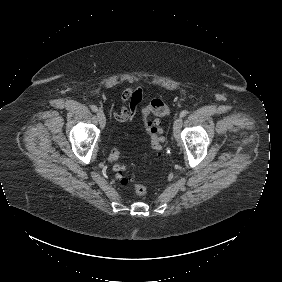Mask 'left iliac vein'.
<instances>
[{
	"mask_svg": "<svg viewBox=\"0 0 282 282\" xmlns=\"http://www.w3.org/2000/svg\"><path fill=\"white\" fill-rule=\"evenodd\" d=\"M183 120L181 117H178L173 123V134L176 140L180 137V129L182 127Z\"/></svg>",
	"mask_w": 282,
	"mask_h": 282,
	"instance_id": "obj_1",
	"label": "left iliac vein"
}]
</instances>
